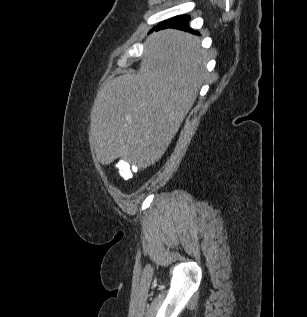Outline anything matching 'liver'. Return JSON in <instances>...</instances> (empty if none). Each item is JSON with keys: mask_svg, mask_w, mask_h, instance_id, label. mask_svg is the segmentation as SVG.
Instances as JSON below:
<instances>
[{"mask_svg": "<svg viewBox=\"0 0 307 317\" xmlns=\"http://www.w3.org/2000/svg\"><path fill=\"white\" fill-rule=\"evenodd\" d=\"M206 56L184 31L146 39L140 70L106 82L94 101L89 140L101 164L150 166L162 157L206 78Z\"/></svg>", "mask_w": 307, "mask_h": 317, "instance_id": "liver-1", "label": "liver"}]
</instances>
